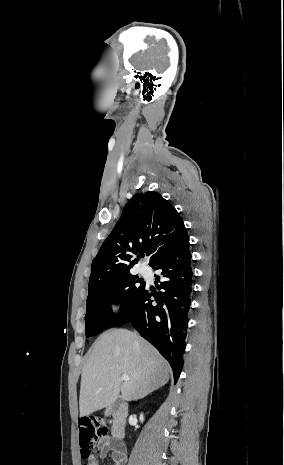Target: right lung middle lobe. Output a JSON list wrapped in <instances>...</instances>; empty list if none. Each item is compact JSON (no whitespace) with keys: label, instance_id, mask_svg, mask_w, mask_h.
<instances>
[{"label":"right lung middle lobe","instance_id":"dd1d6c3e","mask_svg":"<svg viewBox=\"0 0 284 465\" xmlns=\"http://www.w3.org/2000/svg\"><path fill=\"white\" fill-rule=\"evenodd\" d=\"M138 276L128 275L105 283L89 291L85 316L86 336H95L108 328L118 317L111 311L112 303H121L120 313H123L136 295L145 287Z\"/></svg>","mask_w":284,"mask_h":465}]
</instances>
